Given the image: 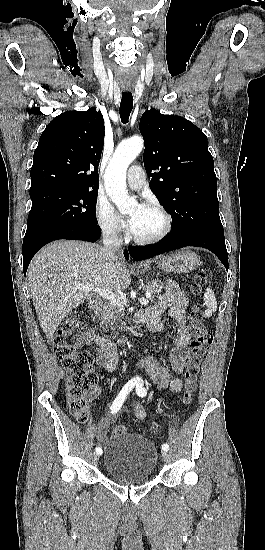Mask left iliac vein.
Wrapping results in <instances>:
<instances>
[{
	"mask_svg": "<svg viewBox=\"0 0 265 550\" xmlns=\"http://www.w3.org/2000/svg\"><path fill=\"white\" fill-rule=\"evenodd\" d=\"M162 455H163V458H164L165 461H167V460L169 459V456H170V455H169V453H168L167 451H163V452H162Z\"/></svg>",
	"mask_w": 265,
	"mask_h": 550,
	"instance_id": "obj_1",
	"label": "left iliac vein"
}]
</instances>
